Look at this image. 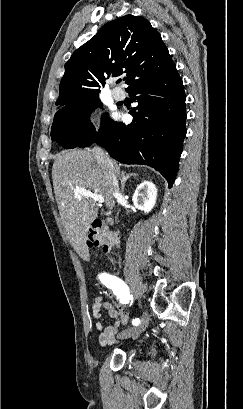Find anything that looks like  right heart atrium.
Returning <instances> with one entry per match:
<instances>
[{"instance_id": "obj_1", "label": "right heart atrium", "mask_w": 243, "mask_h": 409, "mask_svg": "<svg viewBox=\"0 0 243 409\" xmlns=\"http://www.w3.org/2000/svg\"><path fill=\"white\" fill-rule=\"evenodd\" d=\"M87 119H88L89 124H90L93 128H95V129L98 128V126H99V124H98V117H97V115H96L94 112H90V113L88 114Z\"/></svg>"}]
</instances>
